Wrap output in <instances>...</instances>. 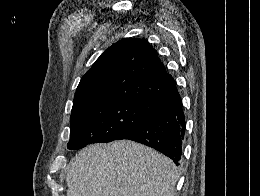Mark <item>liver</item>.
<instances>
[{"label": "liver", "instance_id": "6515ba94", "mask_svg": "<svg viewBox=\"0 0 260 196\" xmlns=\"http://www.w3.org/2000/svg\"><path fill=\"white\" fill-rule=\"evenodd\" d=\"M172 160L131 140L91 144L72 158L67 196H174Z\"/></svg>", "mask_w": 260, "mask_h": 196}]
</instances>
